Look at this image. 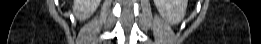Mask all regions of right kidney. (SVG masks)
I'll return each mask as SVG.
<instances>
[{
  "label": "right kidney",
  "mask_w": 261,
  "mask_h": 44,
  "mask_svg": "<svg viewBox=\"0 0 261 44\" xmlns=\"http://www.w3.org/2000/svg\"><path fill=\"white\" fill-rule=\"evenodd\" d=\"M100 0H74L73 12L79 20L88 19L96 10Z\"/></svg>",
  "instance_id": "obj_1"
}]
</instances>
